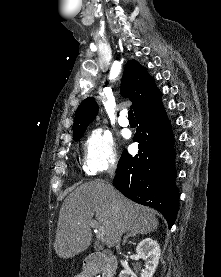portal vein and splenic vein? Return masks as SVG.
I'll list each match as a JSON object with an SVG mask.
<instances>
[{"label": "portal vein and splenic vein", "instance_id": "portal-vein-and-splenic-vein-1", "mask_svg": "<svg viewBox=\"0 0 221 277\" xmlns=\"http://www.w3.org/2000/svg\"><path fill=\"white\" fill-rule=\"evenodd\" d=\"M88 223L91 227L98 229L97 234H96L97 239L103 240L104 239V230L98 226V222L96 220H89Z\"/></svg>", "mask_w": 221, "mask_h": 277}]
</instances>
